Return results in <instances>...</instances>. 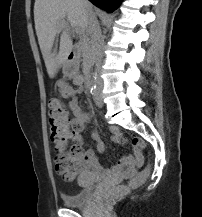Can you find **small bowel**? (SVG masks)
<instances>
[{"instance_id":"c3829d8e","label":"small bowel","mask_w":202,"mask_h":217,"mask_svg":"<svg viewBox=\"0 0 202 217\" xmlns=\"http://www.w3.org/2000/svg\"><path fill=\"white\" fill-rule=\"evenodd\" d=\"M73 84L78 88H73L66 81H58L56 86L60 94L67 98L71 97V101L68 103V108L71 110L73 117L68 120V138H72L79 143L83 144V138L81 132L84 130L88 120L89 114L85 112L79 105L77 94L82 89L83 78L81 75H75L73 77ZM111 140L114 143L127 145V139L123 137L117 128L111 129ZM92 138L96 140V149L98 152H103L105 149L104 143L101 141L98 133L92 132ZM80 168L83 172L92 171L97 174L104 173V167L98 161L94 151L90 148L86 149L78 157ZM144 163V157L140 149L134 148V155L128 154L123 156L120 161L113 165L110 172L121 179L131 178L136 173L140 166Z\"/></svg>"}]
</instances>
